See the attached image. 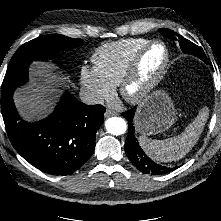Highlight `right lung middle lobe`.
<instances>
[{
	"instance_id": "dd1d6c3e",
	"label": "right lung middle lobe",
	"mask_w": 221,
	"mask_h": 221,
	"mask_svg": "<svg viewBox=\"0 0 221 221\" xmlns=\"http://www.w3.org/2000/svg\"><path fill=\"white\" fill-rule=\"evenodd\" d=\"M83 43L59 34L45 35L23 44L13 55L2 84V91L28 81V68L32 61L49 58L56 51L69 50Z\"/></svg>"
}]
</instances>
